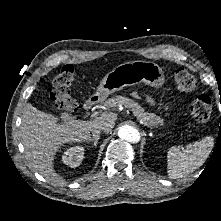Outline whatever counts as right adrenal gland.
<instances>
[{
	"instance_id": "1",
	"label": "right adrenal gland",
	"mask_w": 221,
	"mask_h": 221,
	"mask_svg": "<svg viewBox=\"0 0 221 221\" xmlns=\"http://www.w3.org/2000/svg\"><path fill=\"white\" fill-rule=\"evenodd\" d=\"M99 137H100L99 134H98V135H95V136H93L92 138H91V137L88 138L86 142H87V144H90V142H93V146L96 147V146H97V143H98V140H99Z\"/></svg>"
}]
</instances>
